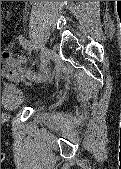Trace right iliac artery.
Here are the masks:
<instances>
[{
    "instance_id": "82829eb1",
    "label": "right iliac artery",
    "mask_w": 121,
    "mask_h": 169,
    "mask_svg": "<svg viewBox=\"0 0 121 169\" xmlns=\"http://www.w3.org/2000/svg\"><path fill=\"white\" fill-rule=\"evenodd\" d=\"M19 39H20V42L25 45V47H27L28 49L31 48V45L28 40L24 39L22 36L19 37ZM28 78H31L32 80H36V81L37 80L42 81L43 79L46 80V77H43L41 74H36L34 72L29 74Z\"/></svg>"
}]
</instances>
